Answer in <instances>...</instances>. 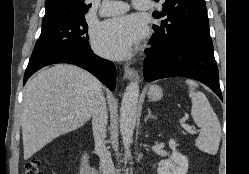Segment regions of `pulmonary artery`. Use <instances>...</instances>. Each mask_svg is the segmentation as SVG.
<instances>
[{"mask_svg": "<svg viewBox=\"0 0 249 174\" xmlns=\"http://www.w3.org/2000/svg\"><path fill=\"white\" fill-rule=\"evenodd\" d=\"M150 0H132L134 9L139 11H148L150 9ZM128 5L121 1L104 0L101 3L99 14L101 16L118 15L126 12Z\"/></svg>", "mask_w": 249, "mask_h": 174, "instance_id": "1", "label": "pulmonary artery"}]
</instances>
